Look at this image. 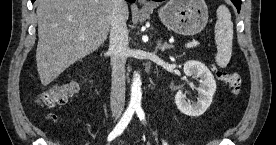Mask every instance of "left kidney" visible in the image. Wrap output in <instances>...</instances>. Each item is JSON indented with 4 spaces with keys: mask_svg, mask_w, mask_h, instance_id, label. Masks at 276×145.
I'll use <instances>...</instances> for the list:
<instances>
[{
    "mask_svg": "<svg viewBox=\"0 0 276 145\" xmlns=\"http://www.w3.org/2000/svg\"><path fill=\"white\" fill-rule=\"evenodd\" d=\"M184 73L192 78L200 79V85L197 88V102L190 103L186 101V96L182 91H178L175 95V103L181 113L197 117L202 115L211 105L216 91V81L210 70L199 61H187L184 64Z\"/></svg>",
    "mask_w": 276,
    "mask_h": 145,
    "instance_id": "1",
    "label": "left kidney"
}]
</instances>
